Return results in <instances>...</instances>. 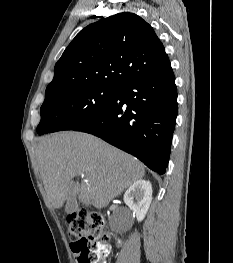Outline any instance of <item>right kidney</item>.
Returning <instances> with one entry per match:
<instances>
[{"instance_id":"obj_1","label":"right kidney","mask_w":233,"mask_h":263,"mask_svg":"<svg viewBox=\"0 0 233 263\" xmlns=\"http://www.w3.org/2000/svg\"><path fill=\"white\" fill-rule=\"evenodd\" d=\"M152 201V185L147 180H138L133 183L124 194V202L136 214L141 222Z\"/></svg>"}]
</instances>
